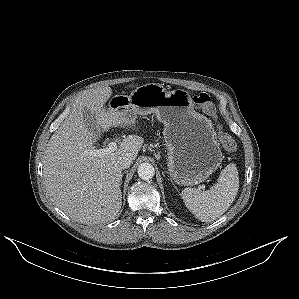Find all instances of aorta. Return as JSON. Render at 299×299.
<instances>
[{
  "label": "aorta",
  "instance_id": "aorta-1",
  "mask_svg": "<svg viewBox=\"0 0 299 299\" xmlns=\"http://www.w3.org/2000/svg\"><path fill=\"white\" fill-rule=\"evenodd\" d=\"M138 176L142 180H149L153 178L155 174L154 167L150 163H142L138 167Z\"/></svg>",
  "mask_w": 299,
  "mask_h": 299
}]
</instances>
